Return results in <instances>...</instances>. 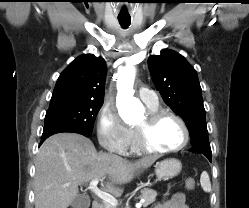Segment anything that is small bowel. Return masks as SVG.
<instances>
[{
	"label": "small bowel",
	"instance_id": "1",
	"mask_svg": "<svg viewBox=\"0 0 249 208\" xmlns=\"http://www.w3.org/2000/svg\"><path fill=\"white\" fill-rule=\"evenodd\" d=\"M154 208H188L182 193H176L171 198L158 203Z\"/></svg>",
	"mask_w": 249,
	"mask_h": 208
}]
</instances>
